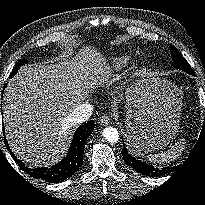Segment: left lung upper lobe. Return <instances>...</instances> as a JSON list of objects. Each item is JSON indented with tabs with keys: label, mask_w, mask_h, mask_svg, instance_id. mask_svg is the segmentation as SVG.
I'll use <instances>...</instances> for the list:
<instances>
[{
	"label": "left lung upper lobe",
	"mask_w": 205,
	"mask_h": 205,
	"mask_svg": "<svg viewBox=\"0 0 205 205\" xmlns=\"http://www.w3.org/2000/svg\"><path fill=\"white\" fill-rule=\"evenodd\" d=\"M171 55L174 59L173 66L182 69L183 71L193 74L194 71L190 67L189 63L186 61V59L177 51V49L171 45Z\"/></svg>",
	"instance_id": "left-lung-upper-lobe-1"
}]
</instances>
